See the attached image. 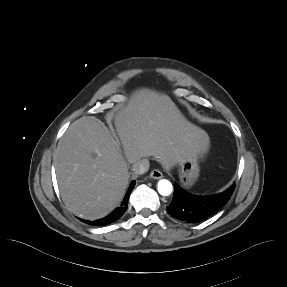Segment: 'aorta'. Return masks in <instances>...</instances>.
Listing matches in <instances>:
<instances>
[{"instance_id":"aorta-1","label":"aorta","mask_w":287,"mask_h":287,"mask_svg":"<svg viewBox=\"0 0 287 287\" xmlns=\"http://www.w3.org/2000/svg\"><path fill=\"white\" fill-rule=\"evenodd\" d=\"M157 190L162 196H169L173 191L172 183L167 179L159 180Z\"/></svg>"}]
</instances>
